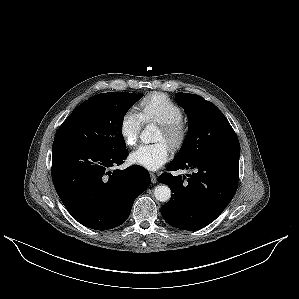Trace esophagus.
I'll list each match as a JSON object with an SVG mask.
<instances>
[{
  "instance_id": "1",
  "label": "esophagus",
  "mask_w": 299,
  "mask_h": 299,
  "mask_svg": "<svg viewBox=\"0 0 299 299\" xmlns=\"http://www.w3.org/2000/svg\"><path fill=\"white\" fill-rule=\"evenodd\" d=\"M150 177H151V182L152 183H156L157 182V177H156V175L154 174V173H150Z\"/></svg>"
}]
</instances>
